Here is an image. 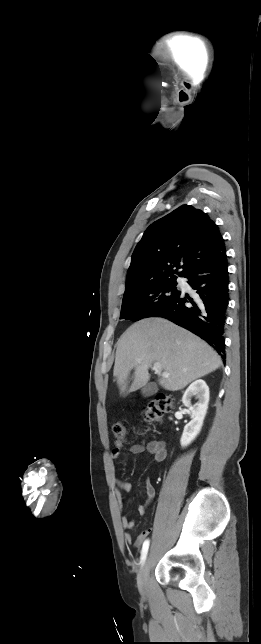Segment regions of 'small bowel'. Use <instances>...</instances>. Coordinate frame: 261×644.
I'll return each instance as SVG.
<instances>
[{
  "mask_svg": "<svg viewBox=\"0 0 261 644\" xmlns=\"http://www.w3.org/2000/svg\"><path fill=\"white\" fill-rule=\"evenodd\" d=\"M121 450H122V442L121 441H116L115 442V447H114V449L112 450V453H111V458L113 460L119 459L120 454H121ZM128 451H129L130 454H133V455H138V454H142L144 452H147V453H149V454H151L153 456V459L156 462L164 461L166 456H167L166 445H165L164 442H161V441H152V442L148 443L146 446H144L142 444H133V445H131L129 447ZM115 484H116L118 493H120V492H129L131 490V484L129 482H126V481H123V480H120V479H116ZM145 493H146L145 501L143 503H141L140 505H138V507H137V512L140 515H143L145 513L148 504L151 502V500L155 496V488L153 487V485L150 482L145 483ZM121 524H122V527L124 529H133L135 527L134 520H130L126 516H123L121 518ZM150 533H151L150 528L143 530L137 536V538L135 539L134 542L132 540V536L129 533H125L124 538L128 543L133 542V544L135 546H139L150 535Z\"/></svg>",
  "mask_w": 261,
  "mask_h": 644,
  "instance_id": "1",
  "label": "small bowel"
}]
</instances>
